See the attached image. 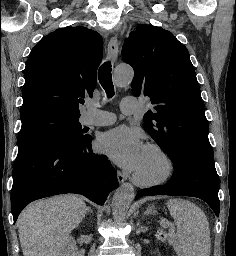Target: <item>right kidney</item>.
Masks as SVG:
<instances>
[{"mask_svg":"<svg viewBox=\"0 0 236 256\" xmlns=\"http://www.w3.org/2000/svg\"><path fill=\"white\" fill-rule=\"evenodd\" d=\"M78 250L73 238H67L63 256H77Z\"/></svg>","mask_w":236,"mask_h":256,"instance_id":"right-kidney-1","label":"right kidney"}]
</instances>
